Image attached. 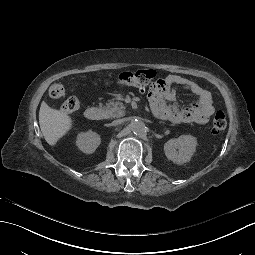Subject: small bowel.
I'll use <instances>...</instances> for the list:
<instances>
[{
    "label": "small bowel",
    "instance_id": "c3829d8e",
    "mask_svg": "<svg viewBox=\"0 0 255 255\" xmlns=\"http://www.w3.org/2000/svg\"><path fill=\"white\" fill-rule=\"evenodd\" d=\"M173 85L180 86L196 95V104L184 109L165 106L164 100L170 101L174 97L175 92L171 89ZM149 96L152 108H165L170 115L169 120L174 123L205 124L214 113V104L210 92L195 81L179 75H168L159 80V83H155L151 87Z\"/></svg>",
    "mask_w": 255,
    "mask_h": 255
}]
</instances>
